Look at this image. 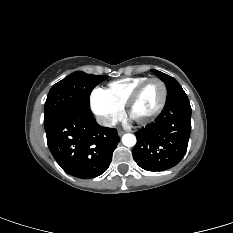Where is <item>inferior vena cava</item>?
<instances>
[{"label": "inferior vena cava", "mask_w": 233, "mask_h": 233, "mask_svg": "<svg viewBox=\"0 0 233 233\" xmlns=\"http://www.w3.org/2000/svg\"><path fill=\"white\" fill-rule=\"evenodd\" d=\"M97 122L105 127H112L116 124V122L111 119L110 117H106V116H99L97 117Z\"/></svg>", "instance_id": "inferior-vena-cava-1"}]
</instances>
